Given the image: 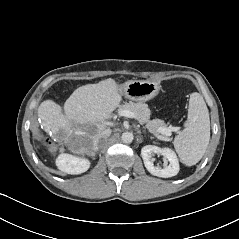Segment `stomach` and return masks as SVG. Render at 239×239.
<instances>
[{
  "label": "stomach",
  "instance_id": "0dacf381",
  "mask_svg": "<svg viewBox=\"0 0 239 239\" xmlns=\"http://www.w3.org/2000/svg\"><path fill=\"white\" fill-rule=\"evenodd\" d=\"M159 90L160 85L150 80H131L120 87L122 96L137 102H146L153 99L158 95Z\"/></svg>",
  "mask_w": 239,
  "mask_h": 239
}]
</instances>
